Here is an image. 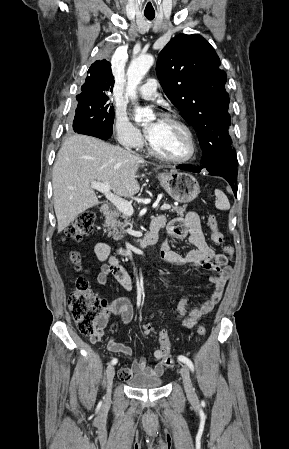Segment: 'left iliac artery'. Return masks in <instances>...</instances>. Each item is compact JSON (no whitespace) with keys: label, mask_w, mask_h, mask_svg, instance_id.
<instances>
[{"label":"left iliac artery","mask_w":289,"mask_h":449,"mask_svg":"<svg viewBox=\"0 0 289 449\" xmlns=\"http://www.w3.org/2000/svg\"><path fill=\"white\" fill-rule=\"evenodd\" d=\"M178 360L183 362V363H185L190 368V370L192 372L194 371L193 363H192V361L189 358H187V357H185L183 355H180V356H178Z\"/></svg>","instance_id":"obj_1"}]
</instances>
